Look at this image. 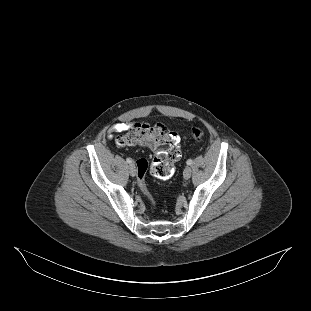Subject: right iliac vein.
I'll return each mask as SVG.
<instances>
[{
	"instance_id": "right-iliac-vein-1",
	"label": "right iliac vein",
	"mask_w": 311,
	"mask_h": 311,
	"mask_svg": "<svg viewBox=\"0 0 311 311\" xmlns=\"http://www.w3.org/2000/svg\"><path fill=\"white\" fill-rule=\"evenodd\" d=\"M129 173L131 176H135L136 175V167L134 164H130L129 165Z\"/></svg>"
}]
</instances>
